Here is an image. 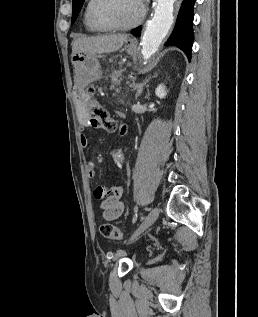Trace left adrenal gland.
Instances as JSON below:
<instances>
[{
  "label": "left adrenal gland",
  "mask_w": 258,
  "mask_h": 317,
  "mask_svg": "<svg viewBox=\"0 0 258 317\" xmlns=\"http://www.w3.org/2000/svg\"><path fill=\"white\" fill-rule=\"evenodd\" d=\"M149 78H151V76H149ZM149 78H145V80H143V82H138V84H135V88H136L135 98H138L139 94H141V92H143V88H144L145 84H147ZM135 88H134V90H135Z\"/></svg>",
  "instance_id": "obj_1"
}]
</instances>
